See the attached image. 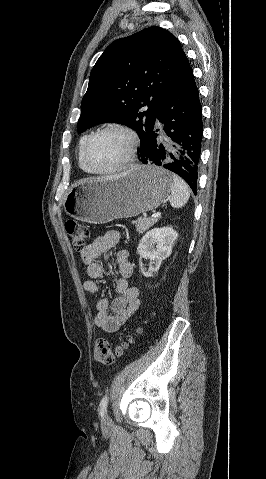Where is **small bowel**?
<instances>
[{"mask_svg": "<svg viewBox=\"0 0 266 479\" xmlns=\"http://www.w3.org/2000/svg\"><path fill=\"white\" fill-rule=\"evenodd\" d=\"M122 236L118 231H108L98 235L94 240L81 251V258L86 266L88 279L83 283L87 293H101V286L98 280L104 274V267L99 263V258H106L110 249L121 244ZM118 276L114 282L115 297L109 300L107 297H100L96 302L95 325L105 332H116L120 327L127 325L140 305V290L128 283L132 276L133 266L128 260L125 250H119L117 255Z\"/></svg>", "mask_w": 266, "mask_h": 479, "instance_id": "small-bowel-1", "label": "small bowel"}]
</instances>
